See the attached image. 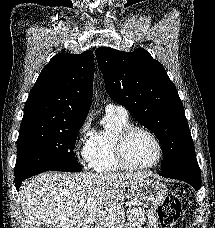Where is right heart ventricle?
Masks as SVG:
<instances>
[{
    "label": "right heart ventricle",
    "mask_w": 215,
    "mask_h": 228,
    "mask_svg": "<svg viewBox=\"0 0 215 228\" xmlns=\"http://www.w3.org/2000/svg\"><path fill=\"white\" fill-rule=\"evenodd\" d=\"M104 128L88 136L85 141L83 156L90 170L98 173H113L123 170L118 163L114 144L117 135L127 126L130 119L128 114L119 111L107 112Z\"/></svg>",
    "instance_id": "obj_1"
}]
</instances>
